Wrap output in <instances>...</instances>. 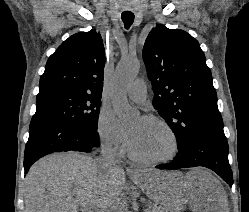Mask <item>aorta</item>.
<instances>
[{
	"label": "aorta",
	"instance_id": "obj_1",
	"mask_svg": "<svg viewBox=\"0 0 249 212\" xmlns=\"http://www.w3.org/2000/svg\"><path fill=\"white\" fill-rule=\"evenodd\" d=\"M140 68L137 59H125L118 63L111 89V101L119 120L128 121L137 115L127 100L126 90L136 78Z\"/></svg>",
	"mask_w": 249,
	"mask_h": 212
}]
</instances>
